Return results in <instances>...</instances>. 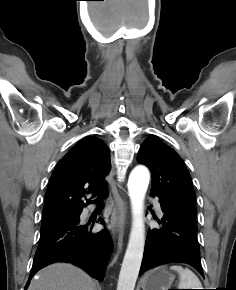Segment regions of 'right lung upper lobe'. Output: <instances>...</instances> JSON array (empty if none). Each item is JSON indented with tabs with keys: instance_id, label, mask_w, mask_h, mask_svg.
<instances>
[{
	"instance_id": "cb5924a9",
	"label": "right lung upper lobe",
	"mask_w": 236,
	"mask_h": 290,
	"mask_svg": "<svg viewBox=\"0 0 236 290\" xmlns=\"http://www.w3.org/2000/svg\"><path fill=\"white\" fill-rule=\"evenodd\" d=\"M111 170L109 149L94 136L81 139L57 164L46 191L43 216L80 212L86 193L106 196ZM93 195V196H94Z\"/></svg>"
}]
</instances>
